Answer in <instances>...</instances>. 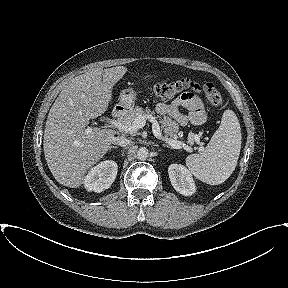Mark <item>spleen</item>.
Masks as SVG:
<instances>
[{"label": "spleen", "instance_id": "spleen-1", "mask_svg": "<svg viewBox=\"0 0 288 288\" xmlns=\"http://www.w3.org/2000/svg\"><path fill=\"white\" fill-rule=\"evenodd\" d=\"M241 128L232 110H225L205 150L186 157L189 171L210 185L223 183L235 170L241 149Z\"/></svg>", "mask_w": 288, "mask_h": 288}]
</instances>
